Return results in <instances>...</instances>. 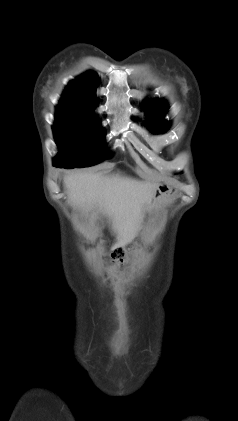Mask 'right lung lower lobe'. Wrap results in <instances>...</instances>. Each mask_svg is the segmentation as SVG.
Wrapping results in <instances>:
<instances>
[{
	"instance_id": "right-lung-lower-lobe-1",
	"label": "right lung lower lobe",
	"mask_w": 238,
	"mask_h": 421,
	"mask_svg": "<svg viewBox=\"0 0 238 421\" xmlns=\"http://www.w3.org/2000/svg\"><path fill=\"white\" fill-rule=\"evenodd\" d=\"M55 167L62 168L59 164H54Z\"/></svg>"
}]
</instances>
